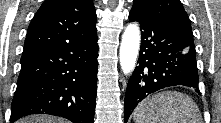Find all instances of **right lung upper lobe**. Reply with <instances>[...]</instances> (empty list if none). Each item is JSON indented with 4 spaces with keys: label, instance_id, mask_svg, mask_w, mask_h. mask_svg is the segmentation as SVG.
Listing matches in <instances>:
<instances>
[{
    "label": "right lung upper lobe",
    "instance_id": "cb5924a9",
    "mask_svg": "<svg viewBox=\"0 0 221 123\" xmlns=\"http://www.w3.org/2000/svg\"><path fill=\"white\" fill-rule=\"evenodd\" d=\"M95 34L92 0H45L29 25L23 52L60 48Z\"/></svg>",
    "mask_w": 221,
    "mask_h": 123
}]
</instances>
